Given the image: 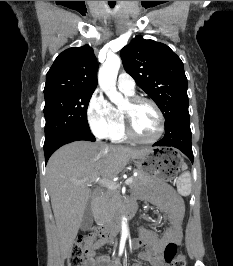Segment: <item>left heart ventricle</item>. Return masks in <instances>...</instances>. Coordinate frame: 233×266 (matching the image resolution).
Here are the masks:
<instances>
[{
    "label": "left heart ventricle",
    "mask_w": 233,
    "mask_h": 266,
    "mask_svg": "<svg viewBox=\"0 0 233 266\" xmlns=\"http://www.w3.org/2000/svg\"><path fill=\"white\" fill-rule=\"evenodd\" d=\"M122 109L130 112L134 131L139 137L150 139L157 134L159 118L150 104L143 103L131 108L128 102H125Z\"/></svg>",
    "instance_id": "left-heart-ventricle-1"
}]
</instances>
